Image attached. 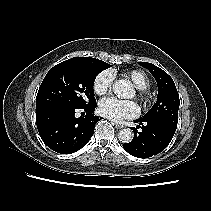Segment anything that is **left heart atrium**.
Returning a JSON list of instances; mask_svg holds the SVG:
<instances>
[{
	"label": "left heart atrium",
	"mask_w": 211,
	"mask_h": 211,
	"mask_svg": "<svg viewBox=\"0 0 211 211\" xmlns=\"http://www.w3.org/2000/svg\"><path fill=\"white\" fill-rule=\"evenodd\" d=\"M99 112L110 120L121 121L137 116L139 107L134 101L106 98L99 102Z\"/></svg>",
	"instance_id": "1"
}]
</instances>
